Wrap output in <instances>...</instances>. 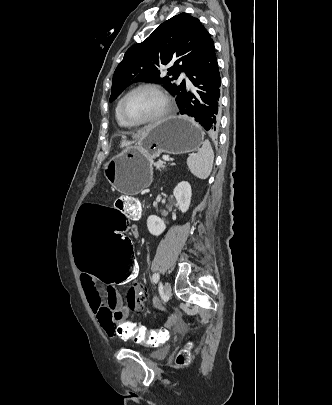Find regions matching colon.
Segmentation results:
<instances>
[{"label": "colon", "mask_w": 332, "mask_h": 405, "mask_svg": "<svg viewBox=\"0 0 332 405\" xmlns=\"http://www.w3.org/2000/svg\"><path fill=\"white\" fill-rule=\"evenodd\" d=\"M140 212V201L129 195L118 197L115 205L82 203L78 220H72L74 257L82 275H95L96 281H105L106 287H127L129 281L136 280L139 270L133 253L134 235L129 234L125 213ZM128 321L121 324L117 337L121 342H134L141 351H159L168 338L169 325L147 329L145 322H135L133 317ZM189 349L180 352L178 364L189 361Z\"/></svg>", "instance_id": "obj_1"}]
</instances>
